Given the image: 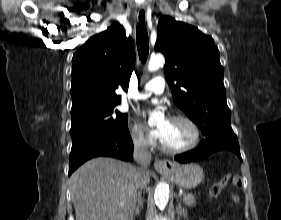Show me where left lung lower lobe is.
Here are the masks:
<instances>
[{
  "label": "left lung lower lobe",
  "instance_id": "obj_1",
  "mask_svg": "<svg viewBox=\"0 0 281 220\" xmlns=\"http://www.w3.org/2000/svg\"><path fill=\"white\" fill-rule=\"evenodd\" d=\"M221 150L232 151L241 159L238 140L223 138L219 141L205 139L200 143L198 148L176 155L175 160L180 163H188L203 159L204 157Z\"/></svg>",
  "mask_w": 281,
  "mask_h": 220
}]
</instances>
